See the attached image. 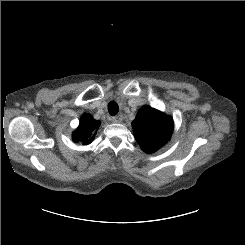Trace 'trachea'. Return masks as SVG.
Instances as JSON below:
<instances>
[{"label": "trachea", "mask_w": 245, "mask_h": 245, "mask_svg": "<svg viewBox=\"0 0 245 245\" xmlns=\"http://www.w3.org/2000/svg\"><path fill=\"white\" fill-rule=\"evenodd\" d=\"M108 111L110 113V115H116L119 111V108H118V105L116 102L114 101H111L109 104H108Z\"/></svg>", "instance_id": "obj_1"}]
</instances>
